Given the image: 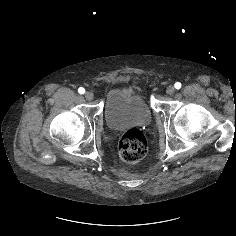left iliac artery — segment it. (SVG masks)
I'll use <instances>...</instances> for the list:
<instances>
[{
  "mask_svg": "<svg viewBox=\"0 0 236 236\" xmlns=\"http://www.w3.org/2000/svg\"><path fill=\"white\" fill-rule=\"evenodd\" d=\"M181 83L180 82H176L175 84H174V87L176 88V89H180L181 88Z\"/></svg>",
  "mask_w": 236,
  "mask_h": 236,
  "instance_id": "1",
  "label": "left iliac artery"
}]
</instances>
